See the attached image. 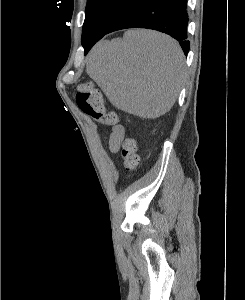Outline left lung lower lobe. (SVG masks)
Segmentation results:
<instances>
[{"label":"left lung lower lobe","instance_id":"0a47b994","mask_svg":"<svg viewBox=\"0 0 245 300\" xmlns=\"http://www.w3.org/2000/svg\"><path fill=\"white\" fill-rule=\"evenodd\" d=\"M187 0H137L111 24L103 34L91 33L84 48L85 55L105 34L127 28H147L169 34L180 42L187 55Z\"/></svg>","mask_w":245,"mask_h":300}]
</instances>
